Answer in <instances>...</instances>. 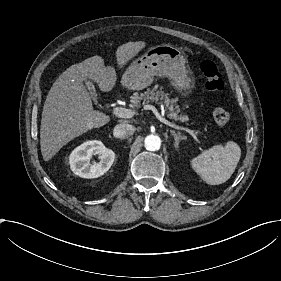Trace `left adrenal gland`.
I'll return each instance as SVG.
<instances>
[{"label": "left adrenal gland", "mask_w": 281, "mask_h": 281, "mask_svg": "<svg viewBox=\"0 0 281 281\" xmlns=\"http://www.w3.org/2000/svg\"><path fill=\"white\" fill-rule=\"evenodd\" d=\"M171 135L174 136V147L178 146V140L180 138L181 132L180 131H174V130H170Z\"/></svg>", "instance_id": "obj_1"}]
</instances>
